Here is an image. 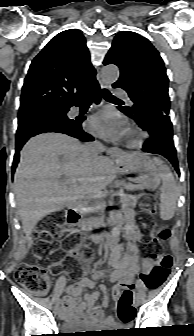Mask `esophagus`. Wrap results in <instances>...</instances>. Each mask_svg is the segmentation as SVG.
<instances>
[{"label": "esophagus", "instance_id": "34e87169", "mask_svg": "<svg viewBox=\"0 0 194 336\" xmlns=\"http://www.w3.org/2000/svg\"><path fill=\"white\" fill-rule=\"evenodd\" d=\"M100 87H101V89H104V88H108L109 85L100 81ZM108 153H109L110 157L113 158V159L123 155V151L118 147H111L109 149Z\"/></svg>", "mask_w": 194, "mask_h": 336}]
</instances>
